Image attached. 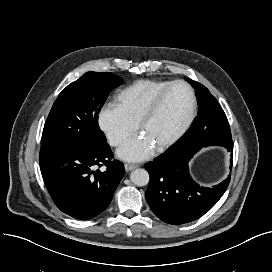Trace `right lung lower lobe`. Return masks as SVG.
<instances>
[{"label":"right lung lower lobe","instance_id":"right-lung-lower-lobe-1","mask_svg":"<svg viewBox=\"0 0 272 272\" xmlns=\"http://www.w3.org/2000/svg\"><path fill=\"white\" fill-rule=\"evenodd\" d=\"M112 157L107 143L41 147L42 177L56 206L81 220L103 212L125 172L123 163Z\"/></svg>","mask_w":272,"mask_h":272}]
</instances>
